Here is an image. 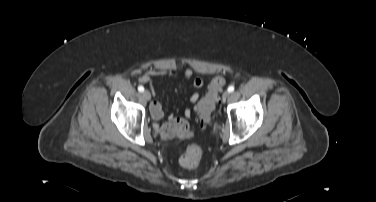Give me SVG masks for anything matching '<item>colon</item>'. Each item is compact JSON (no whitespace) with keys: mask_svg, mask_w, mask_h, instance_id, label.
Segmentation results:
<instances>
[{"mask_svg":"<svg viewBox=\"0 0 376 202\" xmlns=\"http://www.w3.org/2000/svg\"><path fill=\"white\" fill-rule=\"evenodd\" d=\"M225 79L221 76L215 77L208 85L205 97L198 103L196 111L199 116L200 125H206L213 109L218 101L219 93L225 86ZM188 132V127L185 122L168 123L161 128V134L165 138L174 136H183ZM202 148L196 144H191L187 147L185 153L180 159L181 164L187 168H194L198 166L202 158Z\"/></svg>","mask_w":376,"mask_h":202,"instance_id":"colon-1","label":"colon"}]
</instances>
